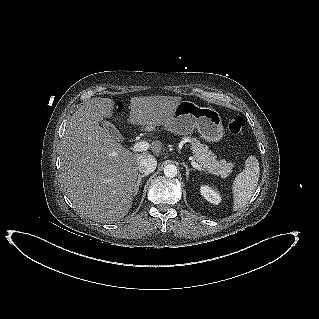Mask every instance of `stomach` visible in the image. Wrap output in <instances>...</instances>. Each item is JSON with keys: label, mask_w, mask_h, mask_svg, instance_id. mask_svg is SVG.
Listing matches in <instances>:
<instances>
[{"label": "stomach", "mask_w": 319, "mask_h": 319, "mask_svg": "<svg viewBox=\"0 0 319 319\" xmlns=\"http://www.w3.org/2000/svg\"><path fill=\"white\" fill-rule=\"evenodd\" d=\"M164 126L179 135L191 134L196 128L201 137L209 142H218L224 136L222 118L215 109L186 100L177 104L170 122Z\"/></svg>", "instance_id": "0dacf381"}]
</instances>
